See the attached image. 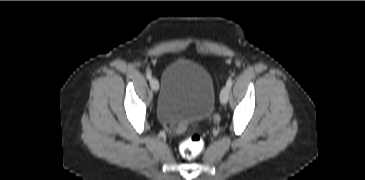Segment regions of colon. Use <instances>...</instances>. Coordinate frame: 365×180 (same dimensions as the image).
Masks as SVG:
<instances>
[{
    "mask_svg": "<svg viewBox=\"0 0 365 180\" xmlns=\"http://www.w3.org/2000/svg\"><path fill=\"white\" fill-rule=\"evenodd\" d=\"M204 140L198 134H191L179 145L180 153L187 159L199 156L204 149Z\"/></svg>",
    "mask_w": 365,
    "mask_h": 180,
    "instance_id": "1",
    "label": "colon"
}]
</instances>
